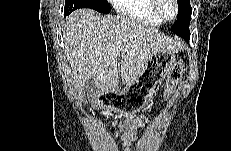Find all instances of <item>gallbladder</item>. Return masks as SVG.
<instances>
[{
	"mask_svg": "<svg viewBox=\"0 0 231 151\" xmlns=\"http://www.w3.org/2000/svg\"><path fill=\"white\" fill-rule=\"evenodd\" d=\"M100 95V90L96 86L94 78L89 79L86 81L82 88V96L84 99V102L91 103L95 101Z\"/></svg>",
	"mask_w": 231,
	"mask_h": 151,
	"instance_id": "obj_1",
	"label": "gallbladder"
}]
</instances>
